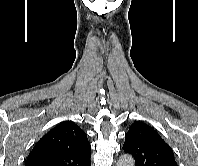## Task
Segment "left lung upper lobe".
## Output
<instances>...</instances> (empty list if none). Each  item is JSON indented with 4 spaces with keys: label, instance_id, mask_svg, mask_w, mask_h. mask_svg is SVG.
<instances>
[{
    "label": "left lung upper lobe",
    "instance_id": "left-lung-upper-lobe-1",
    "mask_svg": "<svg viewBox=\"0 0 198 166\" xmlns=\"http://www.w3.org/2000/svg\"><path fill=\"white\" fill-rule=\"evenodd\" d=\"M123 149L134 157L135 166H178L171 147L142 122H134L130 126Z\"/></svg>",
    "mask_w": 198,
    "mask_h": 166
}]
</instances>
